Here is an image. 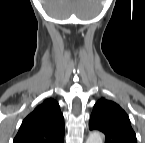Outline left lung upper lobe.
<instances>
[{
    "label": "left lung upper lobe",
    "mask_w": 145,
    "mask_h": 143,
    "mask_svg": "<svg viewBox=\"0 0 145 143\" xmlns=\"http://www.w3.org/2000/svg\"><path fill=\"white\" fill-rule=\"evenodd\" d=\"M89 128L105 134V143H137L126 112L111 100L101 98L94 106Z\"/></svg>",
    "instance_id": "5c2ea615"
}]
</instances>
